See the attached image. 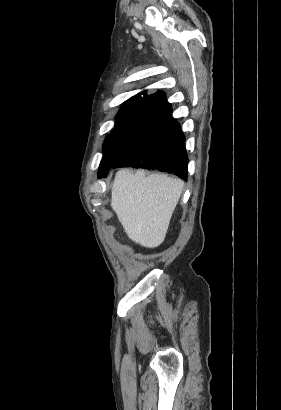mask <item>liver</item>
I'll use <instances>...</instances> for the list:
<instances>
[{"label":"liver","mask_w":281,"mask_h":410,"mask_svg":"<svg viewBox=\"0 0 281 410\" xmlns=\"http://www.w3.org/2000/svg\"><path fill=\"white\" fill-rule=\"evenodd\" d=\"M183 186L182 180L163 174L119 170L111 184V207L128 237L144 247L159 246Z\"/></svg>","instance_id":"6515ba94"}]
</instances>
